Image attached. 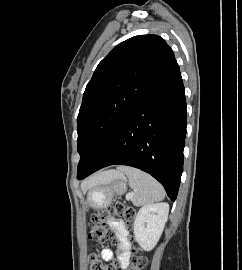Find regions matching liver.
<instances>
[{
	"instance_id": "6515ba94",
	"label": "liver",
	"mask_w": 242,
	"mask_h": 270,
	"mask_svg": "<svg viewBox=\"0 0 242 270\" xmlns=\"http://www.w3.org/2000/svg\"><path fill=\"white\" fill-rule=\"evenodd\" d=\"M114 173H116V171L110 170V171H105V172L95 174L91 176L87 181L82 183L81 187L82 189H86L89 187H93L94 185L104 183L108 181Z\"/></svg>"
}]
</instances>
